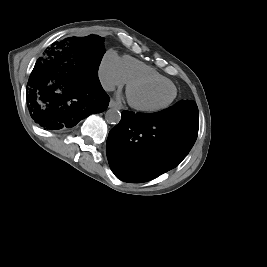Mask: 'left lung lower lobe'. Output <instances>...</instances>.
I'll return each mask as SVG.
<instances>
[{"instance_id":"left-lung-lower-lobe-1","label":"left lung lower lobe","mask_w":267,"mask_h":267,"mask_svg":"<svg viewBox=\"0 0 267 267\" xmlns=\"http://www.w3.org/2000/svg\"><path fill=\"white\" fill-rule=\"evenodd\" d=\"M198 128L199 115L186 110L123 111L106 143L111 170L125 182L152 180L180 164L194 145Z\"/></svg>"}]
</instances>
